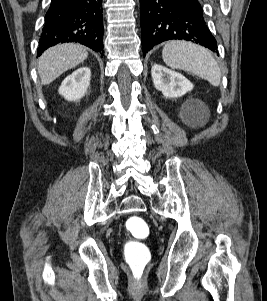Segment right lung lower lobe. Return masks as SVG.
Instances as JSON below:
<instances>
[{
	"label": "right lung lower lobe",
	"mask_w": 267,
	"mask_h": 301,
	"mask_svg": "<svg viewBox=\"0 0 267 301\" xmlns=\"http://www.w3.org/2000/svg\"><path fill=\"white\" fill-rule=\"evenodd\" d=\"M102 0H52L45 16L37 56L64 42L86 45L103 56Z\"/></svg>",
	"instance_id": "right-lung-lower-lobe-1"
}]
</instances>
